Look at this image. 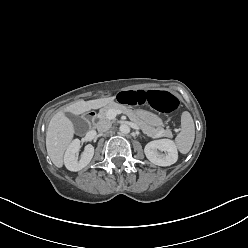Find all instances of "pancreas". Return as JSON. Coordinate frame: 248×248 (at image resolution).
I'll use <instances>...</instances> for the list:
<instances>
[{
    "label": "pancreas",
    "mask_w": 248,
    "mask_h": 248,
    "mask_svg": "<svg viewBox=\"0 0 248 248\" xmlns=\"http://www.w3.org/2000/svg\"><path fill=\"white\" fill-rule=\"evenodd\" d=\"M110 109L122 111V113L126 114L131 121L136 123L148 135L172 137V133L169 129H163L160 126L157 128H154V127L146 124L144 121H142L132 109H130L124 105L115 103V102H112V103L106 105L105 107H103L102 109H100L99 118L100 119H107V112Z\"/></svg>",
    "instance_id": "obj_1"
}]
</instances>
